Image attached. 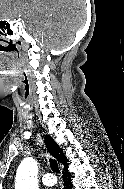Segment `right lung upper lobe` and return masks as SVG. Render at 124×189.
<instances>
[{"mask_svg":"<svg viewBox=\"0 0 124 189\" xmlns=\"http://www.w3.org/2000/svg\"><path fill=\"white\" fill-rule=\"evenodd\" d=\"M45 144L48 148L49 152L64 165V167L68 166V160L62 154V149L58 146V144L49 136H45Z\"/></svg>","mask_w":124,"mask_h":189,"instance_id":"1","label":"right lung upper lobe"}]
</instances>
